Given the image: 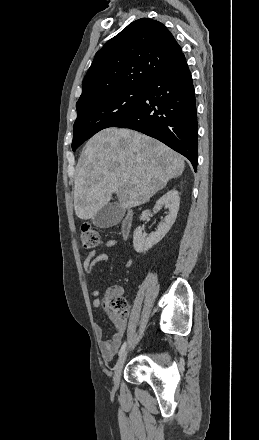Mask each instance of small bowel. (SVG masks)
I'll return each mask as SVG.
<instances>
[{
  "label": "small bowel",
  "instance_id": "1",
  "mask_svg": "<svg viewBox=\"0 0 259 440\" xmlns=\"http://www.w3.org/2000/svg\"><path fill=\"white\" fill-rule=\"evenodd\" d=\"M120 244H121L120 241L117 239H109V240L105 241V243H104V245L106 247H113V246H117ZM107 260H108V256L106 254H98L97 255L94 250L86 252L83 257V261H82L83 269H84L86 276L91 277L95 265H97L98 263H101V262H105ZM125 265L127 267H130L132 265V260L127 259L125 261ZM113 289H116L118 294L121 293L120 288L112 287L108 290L107 295ZM91 295L93 297V301H92L93 307L96 309L102 307L103 302L100 299V292L98 290H93ZM125 330H126L125 323H123V322L117 323V328H116L114 334L112 335V337L109 339H105V338H103L102 329L100 327L96 328V335L99 339V349L102 354V357L105 360H111L113 358V356L115 355L116 351L118 350V348L121 344V341H122L124 334H125Z\"/></svg>",
  "mask_w": 259,
  "mask_h": 440
}]
</instances>
